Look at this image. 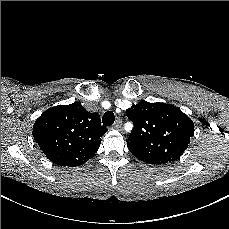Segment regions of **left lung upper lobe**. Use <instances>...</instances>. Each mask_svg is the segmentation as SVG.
Instances as JSON below:
<instances>
[{"instance_id":"1","label":"left lung upper lobe","mask_w":229,"mask_h":229,"mask_svg":"<svg viewBox=\"0 0 229 229\" xmlns=\"http://www.w3.org/2000/svg\"><path fill=\"white\" fill-rule=\"evenodd\" d=\"M126 115L134 124L127 146L149 164L179 159L194 135L192 120L176 106L142 101L127 109Z\"/></svg>"}]
</instances>
